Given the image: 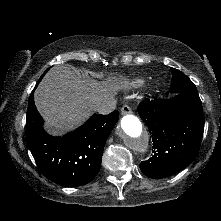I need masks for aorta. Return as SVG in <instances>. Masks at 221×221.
<instances>
[{
  "label": "aorta",
  "instance_id": "762f6f07",
  "mask_svg": "<svg viewBox=\"0 0 221 221\" xmlns=\"http://www.w3.org/2000/svg\"><path fill=\"white\" fill-rule=\"evenodd\" d=\"M117 134L123 138L125 144L136 152H145L149 145V137L135 115L128 114L122 117L116 129Z\"/></svg>",
  "mask_w": 221,
  "mask_h": 221
}]
</instances>
